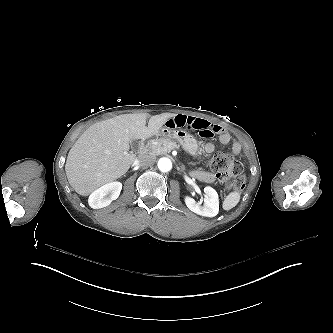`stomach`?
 Instances as JSON below:
<instances>
[{"instance_id":"1","label":"stomach","mask_w":333,"mask_h":333,"mask_svg":"<svg viewBox=\"0 0 333 333\" xmlns=\"http://www.w3.org/2000/svg\"><path fill=\"white\" fill-rule=\"evenodd\" d=\"M162 136L165 138L172 137L176 139L180 144L193 155H197L200 151V147L198 145V140L194 139L193 136L185 133L182 130H177L174 128H170L167 126L161 127L158 132L155 134V137Z\"/></svg>"}]
</instances>
